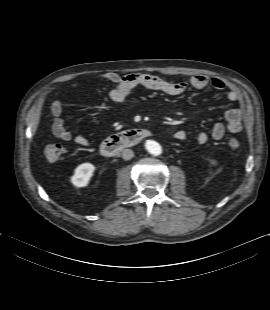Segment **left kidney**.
<instances>
[{
    "mask_svg": "<svg viewBox=\"0 0 270 310\" xmlns=\"http://www.w3.org/2000/svg\"><path fill=\"white\" fill-rule=\"evenodd\" d=\"M212 164H216V162L214 160L211 161Z\"/></svg>",
    "mask_w": 270,
    "mask_h": 310,
    "instance_id": "5707ae66",
    "label": "left kidney"
}]
</instances>
